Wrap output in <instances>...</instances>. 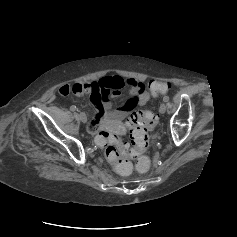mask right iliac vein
<instances>
[{
	"instance_id": "63e3f726",
	"label": "right iliac vein",
	"mask_w": 237,
	"mask_h": 237,
	"mask_svg": "<svg viewBox=\"0 0 237 237\" xmlns=\"http://www.w3.org/2000/svg\"><path fill=\"white\" fill-rule=\"evenodd\" d=\"M79 118L83 123L87 122V117H86L85 113H80Z\"/></svg>"
}]
</instances>
